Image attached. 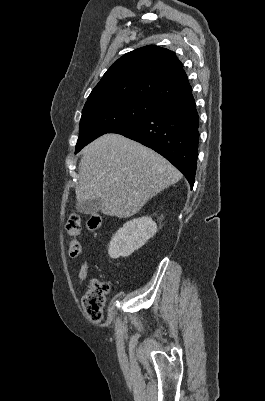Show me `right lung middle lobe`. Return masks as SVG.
Segmentation results:
<instances>
[{
	"instance_id": "obj_1",
	"label": "right lung middle lobe",
	"mask_w": 265,
	"mask_h": 401,
	"mask_svg": "<svg viewBox=\"0 0 265 401\" xmlns=\"http://www.w3.org/2000/svg\"><path fill=\"white\" fill-rule=\"evenodd\" d=\"M160 106L161 103L144 99L113 100L84 106L75 153L99 136L134 123Z\"/></svg>"
}]
</instances>
